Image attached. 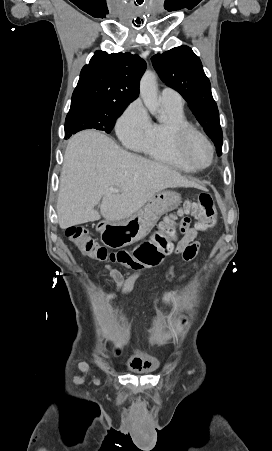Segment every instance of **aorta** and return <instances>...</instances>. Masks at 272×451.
<instances>
[{"label": "aorta", "instance_id": "1", "mask_svg": "<svg viewBox=\"0 0 272 451\" xmlns=\"http://www.w3.org/2000/svg\"><path fill=\"white\" fill-rule=\"evenodd\" d=\"M140 96L150 114L156 116L159 122H163L166 116H159L160 102L158 100V84L155 72L146 70L144 76H142L140 82Z\"/></svg>", "mask_w": 272, "mask_h": 451}]
</instances>
